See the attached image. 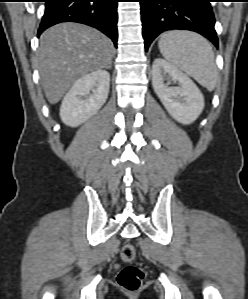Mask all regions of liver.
Returning a JSON list of instances; mask_svg holds the SVG:
<instances>
[{"mask_svg": "<svg viewBox=\"0 0 248 299\" xmlns=\"http://www.w3.org/2000/svg\"><path fill=\"white\" fill-rule=\"evenodd\" d=\"M112 55V42L94 28L68 22L47 29L40 38L37 60L49 103L59 102L81 77L107 68Z\"/></svg>", "mask_w": 248, "mask_h": 299, "instance_id": "liver-1", "label": "liver"}]
</instances>
